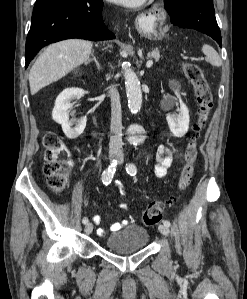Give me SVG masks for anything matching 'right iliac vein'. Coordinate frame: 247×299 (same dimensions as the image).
<instances>
[{
    "label": "right iliac vein",
    "mask_w": 247,
    "mask_h": 299,
    "mask_svg": "<svg viewBox=\"0 0 247 299\" xmlns=\"http://www.w3.org/2000/svg\"><path fill=\"white\" fill-rule=\"evenodd\" d=\"M115 158V155H110V159L113 160ZM85 233L86 234H91L92 230H93V224L92 223H87L85 226Z\"/></svg>",
    "instance_id": "63e3f726"
}]
</instances>
